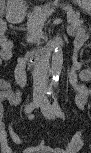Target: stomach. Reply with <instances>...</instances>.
I'll return each mask as SVG.
<instances>
[{"label": "stomach", "mask_w": 91, "mask_h": 153, "mask_svg": "<svg viewBox=\"0 0 91 153\" xmlns=\"http://www.w3.org/2000/svg\"><path fill=\"white\" fill-rule=\"evenodd\" d=\"M78 3H80V4H82V5H84V6H86V5H89V1H85V0H80V1H78Z\"/></svg>", "instance_id": "obj_1"}]
</instances>
